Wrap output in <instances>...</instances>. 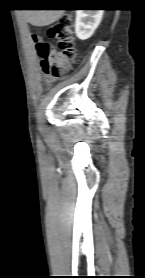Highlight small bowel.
Instances as JSON below:
<instances>
[{
    "instance_id": "small-bowel-1",
    "label": "small bowel",
    "mask_w": 145,
    "mask_h": 278,
    "mask_svg": "<svg viewBox=\"0 0 145 278\" xmlns=\"http://www.w3.org/2000/svg\"><path fill=\"white\" fill-rule=\"evenodd\" d=\"M53 80H54L53 78L47 77V81H48V82H52Z\"/></svg>"
}]
</instances>
